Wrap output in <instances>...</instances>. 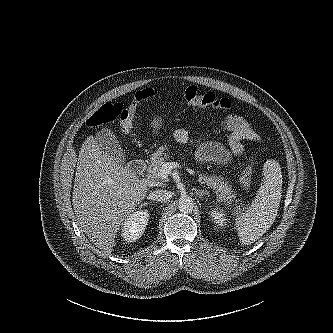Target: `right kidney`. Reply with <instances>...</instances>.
<instances>
[{
  "instance_id": "ca27d5eb",
  "label": "right kidney",
  "mask_w": 333,
  "mask_h": 333,
  "mask_svg": "<svg viewBox=\"0 0 333 333\" xmlns=\"http://www.w3.org/2000/svg\"><path fill=\"white\" fill-rule=\"evenodd\" d=\"M149 220L147 210H140L130 214L123 223L122 237L127 242H134L139 239L145 231Z\"/></svg>"
}]
</instances>
